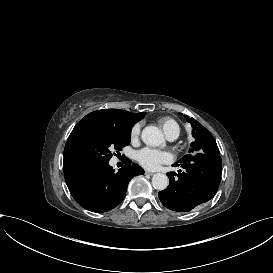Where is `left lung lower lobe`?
I'll use <instances>...</instances> for the list:
<instances>
[{"instance_id":"1","label":"left lung lower lobe","mask_w":273,"mask_h":273,"mask_svg":"<svg viewBox=\"0 0 273 273\" xmlns=\"http://www.w3.org/2000/svg\"><path fill=\"white\" fill-rule=\"evenodd\" d=\"M178 174L168 172L169 186L159 192L162 204L170 210L187 212L212 199L216 194L222 174L221 157L197 153L177 161ZM178 178H175L176 176Z\"/></svg>"}]
</instances>
